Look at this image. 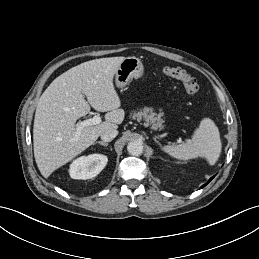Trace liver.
Listing matches in <instances>:
<instances>
[{
	"label": "liver",
	"instance_id": "liver-1",
	"mask_svg": "<svg viewBox=\"0 0 259 259\" xmlns=\"http://www.w3.org/2000/svg\"><path fill=\"white\" fill-rule=\"evenodd\" d=\"M125 57L90 60L58 76L39 99L33 126L36 164L48 178L89 146L108 129L124 120L121 100L113 84ZM87 97L88 102L85 100ZM105 114L101 124L84 127L75 140L76 120L90 112V105Z\"/></svg>",
	"mask_w": 259,
	"mask_h": 259
}]
</instances>
